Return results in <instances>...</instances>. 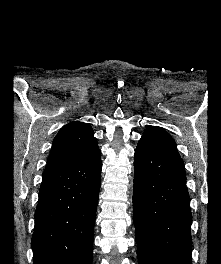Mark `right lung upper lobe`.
Returning a JSON list of instances; mask_svg holds the SVG:
<instances>
[{
  "label": "right lung upper lobe",
  "mask_w": 221,
  "mask_h": 264,
  "mask_svg": "<svg viewBox=\"0 0 221 264\" xmlns=\"http://www.w3.org/2000/svg\"><path fill=\"white\" fill-rule=\"evenodd\" d=\"M94 132L87 123L71 122L53 140L46 167L82 161L99 152Z\"/></svg>",
  "instance_id": "1"
}]
</instances>
